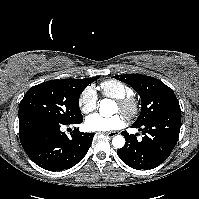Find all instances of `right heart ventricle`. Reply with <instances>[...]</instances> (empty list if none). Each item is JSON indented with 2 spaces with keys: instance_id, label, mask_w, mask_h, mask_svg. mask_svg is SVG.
<instances>
[{
  "instance_id": "1",
  "label": "right heart ventricle",
  "mask_w": 199,
  "mask_h": 199,
  "mask_svg": "<svg viewBox=\"0 0 199 199\" xmlns=\"http://www.w3.org/2000/svg\"><path fill=\"white\" fill-rule=\"evenodd\" d=\"M101 92L107 97L121 99L133 95L132 86L118 80H108L101 84Z\"/></svg>"
}]
</instances>
